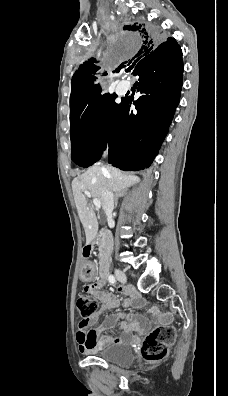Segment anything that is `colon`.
<instances>
[{
  "label": "colon",
  "mask_w": 228,
  "mask_h": 396,
  "mask_svg": "<svg viewBox=\"0 0 228 396\" xmlns=\"http://www.w3.org/2000/svg\"><path fill=\"white\" fill-rule=\"evenodd\" d=\"M77 308L81 316L79 326L86 328L93 315L98 311V303L87 295L81 294L77 299ZM175 342V330L171 326H159L153 329L143 340L141 354L149 364L164 360Z\"/></svg>",
  "instance_id": "1"
}]
</instances>
